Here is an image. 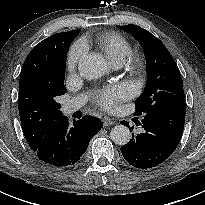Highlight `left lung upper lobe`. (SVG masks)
<instances>
[{"label":"left lung upper lobe","instance_id":"5c2ea615","mask_svg":"<svg viewBox=\"0 0 205 205\" xmlns=\"http://www.w3.org/2000/svg\"><path fill=\"white\" fill-rule=\"evenodd\" d=\"M121 28L137 38L147 61V85L136 100L134 115L150 113L165 104L185 103L180 71L164 44L139 26L129 24Z\"/></svg>","mask_w":205,"mask_h":205}]
</instances>
